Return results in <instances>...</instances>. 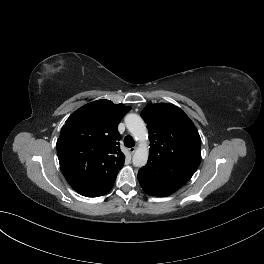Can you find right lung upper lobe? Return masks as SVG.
I'll list each match as a JSON object with an SVG mask.
<instances>
[{"label":"right lung upper lobe","mask_w":264,"mask_h":264,"mask_svg":"<svg viewBox=\"0 0 264 264\" xmlns=\"http://www.w3.org/2000/svg\"><path fill=\"white\" fill-rule=\"evenodd\" d=\"M130 109L97 100L66 120L56 144L57 154L63 175L79 194L98 197L113 187L125 161L117 126Z\"/></svg>","instance_id":"1"}]
</instances>
